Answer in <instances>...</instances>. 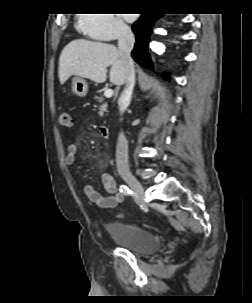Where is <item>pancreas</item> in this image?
Segmentation results:
<instances>
[{
  "label": "pancreas",
  "instance_id": "pancreas-1",
  "mask_svg": "<svg viewBox=\"0 0 252 303\" xmlns=\"http://www.w3.org/2000/svg\"><path fill=\"white\" fill-rule=\"evenodd\" d=\"M95 99L101 103L99 107V116H103L105 112H107V103L104 101L103 96H95Z\"/></svg>",
  "mask_w": 252,
  "mask_h": 303
}]
</instances>
